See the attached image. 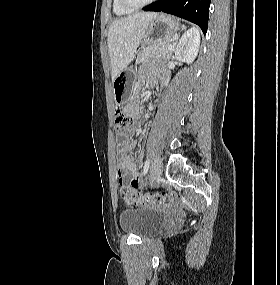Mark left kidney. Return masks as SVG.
<instances>
[{"mask_svg": "<svg viewBox=\"0 0 280 285\" xmlns=\"http://www.w3.org/2000/svg\"><path fill=\"white\" fill-rule=\"evenodd\" d=\"M200 46V33L196 27L187 30L179 40L175 56L179 61L192 63L197 56Z\"/></svg>", "mask_w": 280, "mask_h": 285, "instance_id": "left-kidney-1", "label": "left kidney"}]
</instances>
